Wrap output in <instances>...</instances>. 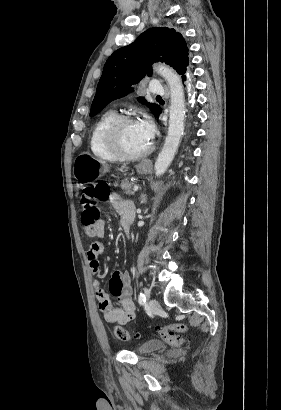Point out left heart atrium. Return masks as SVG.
<instances>
[{
  "instance_id": "1",
  "label": "left heart atrium",
  "mask_w": 281,
  "mask_h": 410,
  "mask_svg": "<svg viewBox=\"0 0 281 410\" xmlns=\"http://www.w3.org/2000/svg\"><path fill=\"white\" fill-rule=\"evenodd\" d=\"M135 123L143 138L150 143L154 137L155 132L153 121L147 115H143Z\"/></svg>"
}]
</instances>
